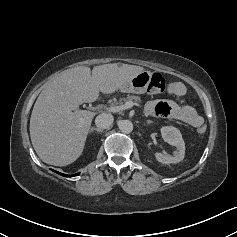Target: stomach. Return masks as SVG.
Returning a JSON list of instances; mask_svg holds the SVG:
<instances>
[{"label":"stomach","mask_w":237,"mask_h":237,"mask_svg":"<svg viewBox=\"0 0 237 237\" xmlns=\"http://www.w3.org/2000/svg\"><path fill=\"white\" fill-rule=\"evenodd\" d=\"M151 76L149 71H142L124 84L120 90L126 93L143 94L148 88Z\"/></svg>","instance_id":"1"}]
</instances>
